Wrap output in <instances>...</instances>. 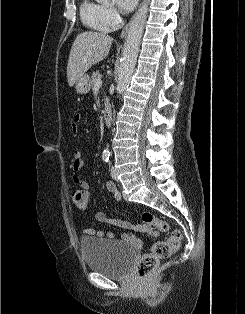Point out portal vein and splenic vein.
<instances>
[{"label":"portal vein and splenic vein","instance_id":"portal-vein-and-splenic-vein-1","mask_svg":"<svg viewBox=\"0 0 245 314\" xmlns=\"http://www.w3.org/2000/svg\"><path fill=\"white\" fill-rule=\"evenodd\" d=\"M101 86H102V80H101V78H98L97 81H96L95 87H96V88H99V87H101Z\"/></svg>","mask_w":245,"mask_h":314}]
</instances>
